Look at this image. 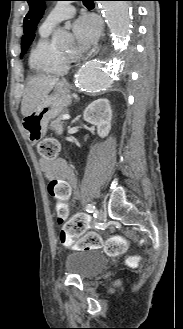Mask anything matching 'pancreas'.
I'll list each match as a JSON object with an SVG mask.
<instances>
[{"instance_id":"pancreas-1","label":"pancreas","mask_w":183,"mask_h":329,"mask_svg":"<svg viewBox=\"0 0 183 329\" xmlns=\"http://www.w3.org/2000/svg\"><path fill=\"white\" fill-rule=\"evenodd\" d=\"M64 122L62 118H57L51 121L50 128L53 129L58 135L63 133Z\"/></svg>"}]
</instances>
